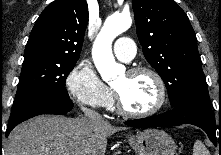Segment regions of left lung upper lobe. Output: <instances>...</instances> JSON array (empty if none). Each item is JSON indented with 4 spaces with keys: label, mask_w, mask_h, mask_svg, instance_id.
Instances as JSON below:
<instances>
[{
    "label": "left lung upper lobe",
    "mask_w": 221,
    "mask_h": 155,
    "mask_svg": "<svg viewBox=\"0 0 221 155\" xmlns=\"http://www.w3.org/2000/svg\"><path fill=\"white\" fill-rule=\"evenodd\" d=\"M138 39L146 60L163 79L174 107L206 90L197 39L187 15L173 0H132Z\"/></svg>",
    "instance_id": "left-lung-upper-lobe-1"
}]
</instances>
